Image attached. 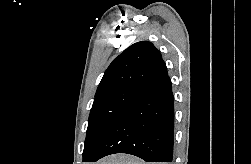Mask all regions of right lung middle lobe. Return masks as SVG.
Segmentation results:
<instances>
[{
  "mask_svg": "<svg viewBox=\"0 0 251 164\" xmlns=\"http://www.w3.org/2000/svg\"><path fill=\"white\" fill-rule=\"evenodd\" d=\"M140 93L139 88L123 87L95 97L88 120L83 161L90 156L110 126L139 97Z\"/></svg>",
  "mask_w": 251,
  "mask_h": 164,
  "instance_id": "1",
  "label": "right lung middle lobe"
}]
</instances>
